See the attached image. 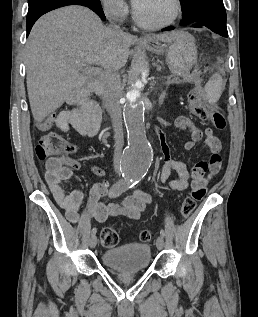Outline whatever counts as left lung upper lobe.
I'll use <instances>...</instances> for the list:
<instances>
[{
  "label": "left lung upper lobe",
  "mask_w": 258,
  "mask_h": 317,
  "mask_svg": "<svg viewBox=\"0 0 258 317\" xmlns=\"http://www.w3.org/2000/svg\"><path fill=\"white\" fill-rule=\"evenodd\" d=\"M182 6V24H190L194 19L203 13L206 7L217 9L220 17L226 21V10L223 0H180Z\"/></svg>",
  "instance_id": "5c2ea615"
}]
</instances>
